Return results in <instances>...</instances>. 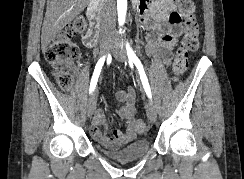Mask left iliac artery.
Listing matches in <instances>:
<instances>
[{
    "instance_id": "1",
    "label": "left iliac artery",
    "mask_w": 244,
    "mask_h": 179,
    "mask_svg": "<svg viewBox=\"0 0 244 179\" xmlns=\"http://www.w3.org/2000/svg\"><path fill=\"white\" fill-rule=\"evenodd\" d=\"M126 49H127V55H128L129 62H131V63L133 62L135 64V66L137 67L144 90H145L147 96L151 99L152 98L151 89H150V85H149L147 76L145 74L143 65H142L141 61L139 60V58L134 53L133 49L130 47L129 43L126 44Z\"/></svg>"
}]
</instances>
